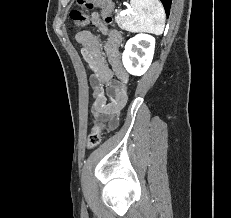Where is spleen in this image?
Listing matches in <instances>:
<instances>
[{"instance_id":"obj_1","label":"spleen","mask_w":231,"mask_h":218,"mask_svg":"<svg viewBox=\"0 0 231 218\" xmlns=\"http://www.w3.org/2000/svg\"><path fill=\"white\" fill-rule=\"evenodd\" d=\"M131 12L123 19L129 32L163 33L165 11L159 0H130Z\"/></svg>"}]
</instances>
